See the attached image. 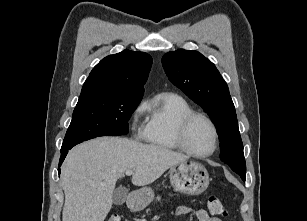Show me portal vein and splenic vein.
I'll list each match as a JSON object with an SVG mask.
<instances>
[{
	"label": "portal vein and splenic vein",
	"instance_id": "obj_1",
	"mask_svg": "<svg viewBox=\"0 0 307 221\" xmlns=\"http://www.w3.org/2000/svg\"><path fill=\"white\" fill-rule=\"evenodd\" d=\"M125 174H126L127 176H130V175H132V174H134V173H133L132 170H127V171L125 172Z\"/></svg>",
	"mask_w": 307,
	"mask_h": 221
}]
</instances>
